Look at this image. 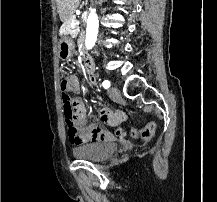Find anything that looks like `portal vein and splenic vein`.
I'll use <instances>...</instances> for the list:
<instances>
[{
  "label": "portal vein and splenic vein",
  "mask_w": 217,
  "mask_h": 202,
  "mask_svg": "<svg viewBox=\"0 0 217 202\" xmlns=\"http://www.w3.org/2000/svg\"><path fill=\"white\" fill-rule=\"evenodd\" d=\"M76 14H80L79 10L78 12H76ZM80 22H77V20H73V22H71V28H74V26H79Z\"/></svg>",
  "instance_id": "1"
}]
</instances>
